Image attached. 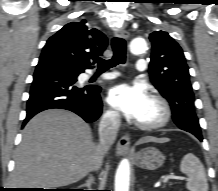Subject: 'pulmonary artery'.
<instances>
[{
    "label": "pulmonary artery",
    "mask_w": 218,
    "mask_h": 191,
    "mask_svg": "<svg viewBox=\"0 0 218 191\" xmlns=\"http://www.w3.org/2000/svg\"><path fill=\"white\" fill-rule=\"evenodd\" d=\"M147 67L146 59H138L136 62V69L138 72L144 71ZM103 79H111L114 78V74H106L102 76Z\"/></svg>",
    "instance_id": "obj_1"
}]
</instances>
